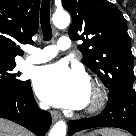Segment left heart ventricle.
Segmentation results:
<instances>
[{
    "label": "left heart ventricle",
    "mask_w": 136,
    "mask_h": 136,
    "mask_svg": "<svg viewBox=\"0 0 136 136\" xmlns=\"http://www.w3.org/2000/svg\"><path fill=\"white\" fill-rule=\"evenodd\" d=\"M90 98H91V90H90V93H89V97H88L87 103L89 102Z\"/></svg>",
    "instance_id": "left-heart-ventricle-1"
}]
</instances>
